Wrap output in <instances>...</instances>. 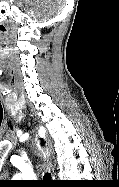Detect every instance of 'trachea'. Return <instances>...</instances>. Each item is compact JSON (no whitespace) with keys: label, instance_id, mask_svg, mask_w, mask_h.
Listing matches in <instances>:
<instances>
[{"label":"trachea","instance_id":"trachea-1","mask_svg":"<svg viewBox=\"0 0 119 187\" xmlns=\"http://www.w3.org/2000/svg\"><path fill=\"white\" fill-rule=\"evenodd\" d=\"M45 177H50V175H49V174H46Z\"/></svg>","mask_w":119,"mask_h":187}]
</instances>
